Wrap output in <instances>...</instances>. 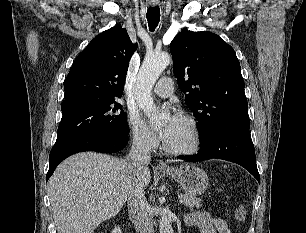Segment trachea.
I'll return each instance as SVG.
<instances>
[{
  "mask_svg": "<svg viewBox=\"0 0 306 233\" xmlns=\"http://www.w3.org/2000/svg\"><path fill=\"white\" fill-rule=\"evenodd\" d=\"M146 17L150 31H154L160 21V8L158 6L149 7Z\"/></svg>",
  "mask_w": 306,
  "mask_h": 233,
  "instance_id": "3493384b",
  "label": "trachea"
}]
</instances>
